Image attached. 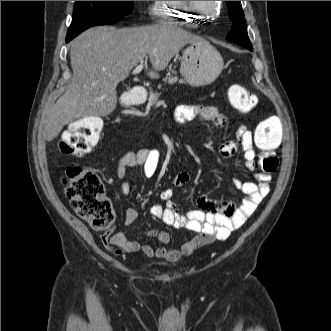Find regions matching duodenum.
Listing matches in <instances>:
<instances>
[{
	"mask_svg": "<svg viewBox=\"0 0 331 331\" xmlns=\"http://www.w3.org/2000/svg\"><path fill=\"white\" fill-rule=\"evenodd\" d=\"M145 97V88L142 86H135L126 92L125 100L131 105H139L144 103Z\"/></svg>",
	"mask_w": 331,
	"mask_h": 331,
	"instance_id": "obj_1",
	"label": "duodenum"
}]
</instances>
